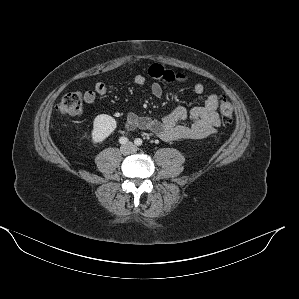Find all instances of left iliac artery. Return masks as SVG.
<instances>
[{
    "mask_svg": "<svg viewBox=\"0 0 299 299\" xmlns=\"http://www.w3.org/2000/svg\"><path fill=\"white\" fill-rule=\"evenodd\" d=\"M134 143H135V145H137V146H141L142 143H143V141H142V139H140V138H136V139L134 140Z\"/></svg>",
    "mask_w": 299,
    "mask_h": 299,
    "instance_id": "1",
    "label": "left iliac artery"
}]
</instances>
